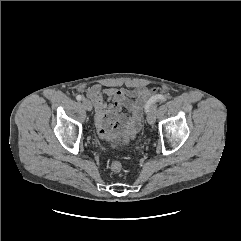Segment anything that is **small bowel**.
Listing matches in <instances>:
<instances>
[{"label":"small bowel","mask_w":241,"mask_h":241,"mask_svg":"<svg viewBox=\"0 0 241 241\" xmlns=\"http://www.w3.org/2000/svg\"><path fill=\"white\" fill-rule=\"evenodd\" d=\"M156 89L107 88L94 84L86 90L95 108V127L102 139L128 142L140 129L142 112Z\"/></svg>","instance_id":"c3829d8e"}]
</instances>
